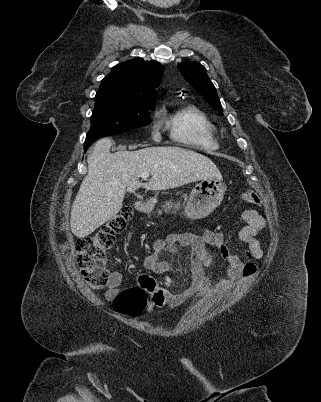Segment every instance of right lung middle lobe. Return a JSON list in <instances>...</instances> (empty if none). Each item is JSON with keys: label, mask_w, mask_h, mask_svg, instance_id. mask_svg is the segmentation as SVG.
<instances>
[{"label": "right lung middle lobe", "mask_w": 321, "mask_h": 402, "mask_svg": "<svg viewBox=\"0 0 321 402\" xmlns=\"http://www.w3.org/2000/svg\"><path fill=\"white\" fill-rule=\"evenodd\" d=\"M154 108L153 104H140L121 98L96 95L91 129L85 141L94 142L101 137L148 125L150 123L148 110Z\"/></svg>", "instance_id": "dd1d6c3e"}]
</instances>
